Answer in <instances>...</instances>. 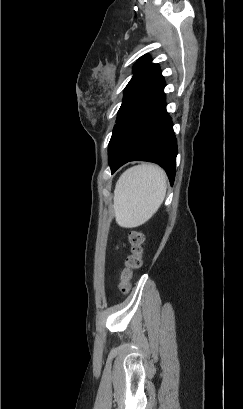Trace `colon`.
I'll use <instances>...</instances> for the list:
<instances>
[{
    "mask_svg": "<svg viewBox=\"0 0 243 409\" xmlns=\"http://www.w3.org/2000/svg\"><path fill=\"white\" fill-rule=\"evenodd\" d=\"M145 236L141 231H132L129 234L131 244V254L127 257L124 269L121 272L120 289L122 293H127L131 288V280L134 270L140 268L142 263V245Z\"/></svg>",
    "mask_w": 243,
    "mask_h": 409,
    "instance_id": "5ec220e1",
    "label": "colon"
}]
</instances>
